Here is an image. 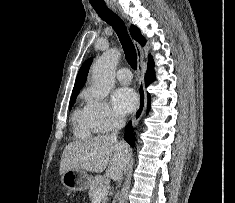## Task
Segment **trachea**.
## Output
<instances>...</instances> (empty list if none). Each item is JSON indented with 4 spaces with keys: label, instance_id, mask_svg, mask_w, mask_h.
Here are the masks:
<instances>
[{
    "label": "trachea",
    "instance_id": "1",
    "mask_svg": "<svg viewBox=\"0 0 235 203\" xmlns=\"http://www.w3.org/2000/svg\"><path fill=\"white\" fill-rule=\"evenodd\" d=\"M99 17L107 22L118 35L126 60L133 69H137V53L122 19L113 13L106 4H92Z\"/></svg>",
    "mask_w": 235,
    "mask_h": 203
}]
</instances>
